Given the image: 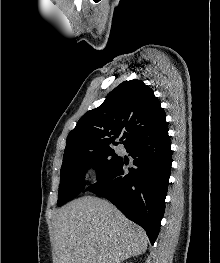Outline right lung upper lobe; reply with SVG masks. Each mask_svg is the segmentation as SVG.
<instances>
[{
    "label": "right lung upper lobe",
    "instance_id": "1",
    "mask_svg": "<svg viewBox=\"0 0 220 263\" xmlns=\"http://www.w3.org/2000/svg\"><path fill=\"white\" fill-rule=\"evenodd\" d=\"M167 130L166 115L153 90L141 80L125 81L80 118L67 137L64 154L108 148L119 136L126 145L140 136L155 137Z\"/></svg>",
    "mask_w": 220,
    "mask_h": 263
}]
</instances>
